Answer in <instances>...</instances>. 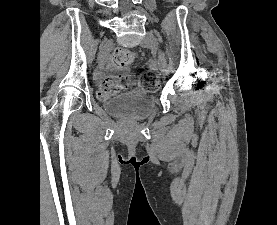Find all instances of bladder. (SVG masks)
Masks as SVG:
<instances>
[{
    "instance_id": "bladder-1",
    "label": "bladder",
    "mask_w": 277,
    "mask_h": 225,
    "mask_svg": "<svg viewBox=\"0 0 277 225\" xmlns=\"http://www.w3.org/2000/svg\"><path fill=\"white\" fill-rule=\"evenodd\" d=\"M154 107V95L142 90L112 96L105 103L109 113L128 119H143L154 110Z\"/></svg>"
}]
</instances>
